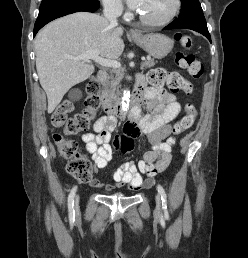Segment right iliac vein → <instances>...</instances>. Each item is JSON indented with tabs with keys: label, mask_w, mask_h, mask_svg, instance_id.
Here are the masks:
<instances>
[{
	"label": "right iliac vein",
	"mask_w": 248,
	"mask_h": 258,
	"mask_svg": "<svg viewBox=\"0 0 248 258\" xmlns=\"http://www.w3.org/2000/svg\"><path fill=\"white\" fill-rule=\"evenodd\" d=\"M79 199H80L79 195H76V197H75V209H76V210H78Z\"/></svg>",
	"instance_id": "right-iliac-vein-1"
}]
</instances>
